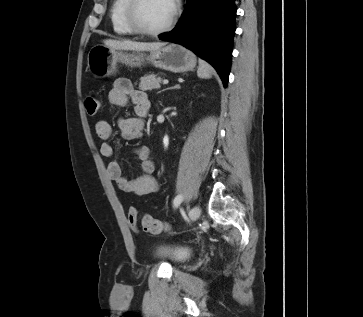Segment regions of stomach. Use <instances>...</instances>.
<instances>
[{
    "label": "stomach",
    "mask_w": 363,
    "mask_h": 317,
    "mask_svg": "<svg viewBox=\"0 0 363 317\" xmlns=\"http://www.w3.org/2000/svg\"><path fill=\"white\" fill-rule=\"evenodd\" d=\"M145 62L173 73H184L194 69L197 59L191 51L174 43L150 51L149 54L126 53L110 49L105 45H95L87 57L88 69L95 78L116 74L119 63L139 67Z\"/></svg>",
    "instance_id": "1"
}]
</instances>
